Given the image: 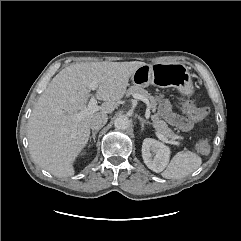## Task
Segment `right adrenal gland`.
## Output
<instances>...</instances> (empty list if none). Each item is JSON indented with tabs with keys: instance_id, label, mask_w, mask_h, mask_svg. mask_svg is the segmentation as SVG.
<instances>
[{
	"instance_id": "1",
	"label": "right adrenal gland",
	"mask_w": 241,
	"mask_h": 241,
	"mask_svg": "<svg viewBox=\"0 0 241 241\" xmlns=\"http://www.w3.org/2000/svg\"><path fill=\"white\" fill-rule=\"evenodd\" d=\"M99 132V130H95L92 132V135L89 137V141L91 142V140L93 139L94 143L96 142L95 138H96V134Z\"/></svg>"
}]
</instances>
